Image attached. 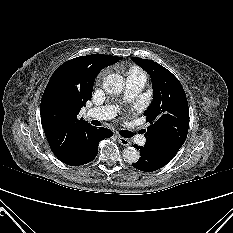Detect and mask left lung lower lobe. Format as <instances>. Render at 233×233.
<instances>
[{
    "instance_id": "obj_1",
    "label": "left lung lower lobe",
    "mask_w": 233,
    "mask_h": 233,
    "mask_svg": "<svg viewBox=\"0 0 233 233\" xmlns=\"http://www.w3.org/2000/svg\"><path fill=\"white\" fill-rule=\"evenodd\" d=\"M134 147L139 150L141 156L136 163H133V167L138 170L145 172L156 171L165 166L171 160L147 145H134Z\"/></svg>"
}]
</instances>
